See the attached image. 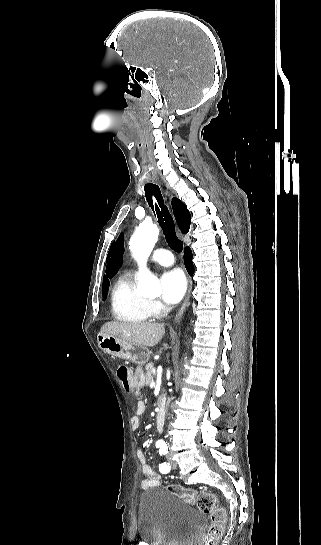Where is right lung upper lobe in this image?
<instances>
[{
	"instance_id": "obj_1",
	"label": "right lung upper lobe",
	"mask_w": 321,
	"mask_h": 545,
	"mask_svg": "<svg viewBox=\"0 0 321 545\" xmlns=\"http://www.w3.org/2000/svg\"><path fill=\"white\" fill-rule=\"evenodd\" d=\"M172 207H173V212H174L175 219L177 221V224H178L180 230L183 233H187L189 231V228H190V213H189V211L187 210L184 203L181 202L177 198H173ZM113 245H114V243H112V245H111V248H110L109 253H108L107 260L110 257V253H111ZM108 286H109V281H108V279L106 277H104L103 289H107Z\"/></svg>"
}]
</instances>
